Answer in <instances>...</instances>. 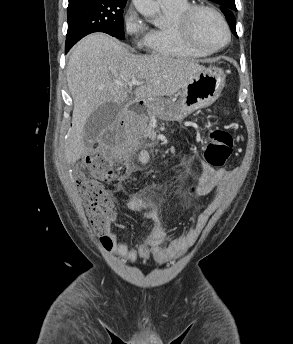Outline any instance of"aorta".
Instances as JSON below:
<instances>
[{
	"label": "aorta",
	"mask_w": 293,
	"mask_h": 344,
	"mask_svg": "<svg viewBox=\"0 0 293 344\" xmlns=\"http://www.w3.org/2000/svg\"><path fill=\"white\" fill-rule=\"evenodd\" d=\"M136 10L146 18H150L154 25L161 23L160 6L156 0H132Z\"/></svg>",
	"instance_id": "obj_1"
}]
</instances>
